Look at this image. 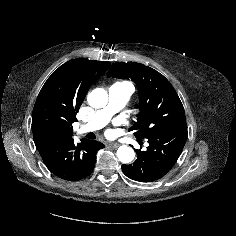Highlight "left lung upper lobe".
<instances>
[{
	"label": "left lung upper lobe",
	"instance_id": "1",
	"mask_svg": "<svg viewBox=\"0 0 236 236\" xmlns=\"http://www.w3.org/2000/svg\"><path fill=\"white\" fill-rule=\"evenodd\" d=\"M108 77L131 79L139 92L140 114L130 128L138 139L185 127L183 105L171 83L158 71L135 62H116Z\"/></svg>",
	"mask_w": 236,
	"mask_h": 236
}]
</instances>
